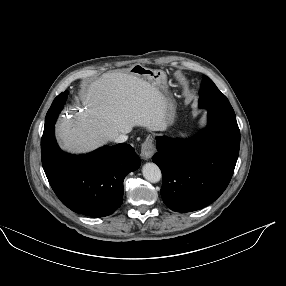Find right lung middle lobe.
<instances>
[{
	"instance_id": "obj_1",
	"label": "right lung middle lobe",
	"mask_w": 286,
	"mask_h": 286,
	"mask_svg": "<svg viewBox=\"0 0 286 286\" xmlns=\"http://www.w3.org/2000/svg\"><path fill=\"white\" fill-rule=\"evenodd\" d=\"M68 92L65 91L61 94H59L53 101L50 109L47 112L46 118H45V127H48L50 125H53L58 117V114L63 109L64 104L67 99Z\"/></svg>"
}]
</instances>
